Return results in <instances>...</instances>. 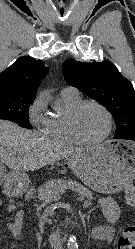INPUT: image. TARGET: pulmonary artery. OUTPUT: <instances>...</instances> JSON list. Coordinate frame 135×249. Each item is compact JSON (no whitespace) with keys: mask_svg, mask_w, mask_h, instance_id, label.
Segmentation results:
<instances>
[{"mask_svg":"<svg viewBox=\"0 0 135 249\" xmlns=\"http://www.w3.org/2000/svg\"><path fill=\"white\" fill-rule=\"evenodd\" d=\"M62 94H69V95H79V92L76 88L73 87H66L61 91Z\"/></svg>","mask_w":135,"mask_h":249,"instance_id":"pulmonary-artery-1","label":"pulmonary artery"}]
</instances>
